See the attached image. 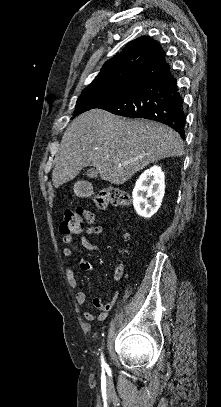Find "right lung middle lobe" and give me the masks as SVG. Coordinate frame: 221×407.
<instances>
[{"label":"right lung middle lobe","mask_w":221,"mask_h":407,"mask_svg":"<svg viewBox=\"0 0 221 407\" xmlns=\"http://www.w3.org/2000/svg\"><path fill=\"white\" fill-rule=\"evenodd\" d=\"M140 85L134 84L126 88L91 87L85 88L76 103L75 114L93 108H100L128 94Z\"/></svg>","instance_id":"obj_1"}]
</instances>
